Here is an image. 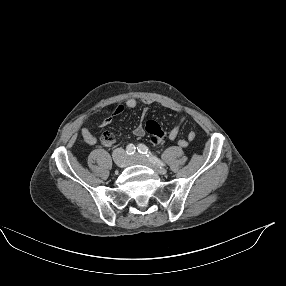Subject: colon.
<instances>
[{
    "mask_svg": "<svg viewBox=\"0 0 286 286\" xmlns=\"http://www.w3.org/2000/svg\"><path fill=\"white\" fill-rule=\"evenodd\" d=\"M145 129L147 139L153 144H160L167 137L166 128L154 120L147 121L145 124ZM114 139V134L111 132H104L101 136L102 143H113Z\"/></svg>",
    "mask_w": 286,
    "mask_h": 286,
    "instance_id": "obj_1",
    "label": "colon"
}]
</instances>
